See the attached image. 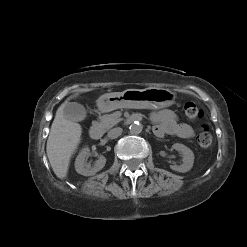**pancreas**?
<instances>
[{
	"label": "pancreas",
	"mask_w": 247,
	"mask_h": 247,
	"mask_svg": "<svg viewBox=\"0 0 247 247\" xmlns=\"http://www.w3.org/2000/svg\"><path fill=\"white\" fill-rule=\"evenodd\" d=\"M121 120L120 113L114 112L112 114L101 116L100 122L98 124L103 130H108L119 123Z\"/></svg>",
	"instance_id": "cf45deb5"
}]
</instances>
